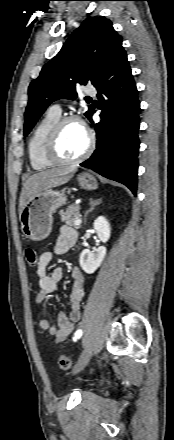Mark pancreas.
Instances as JSON below:
<instances>
[{
  "label": "pancreas",
  "instance_id": "pancreas-1",
  "mask_svg": "<svg viewBox=\"0 0 174 440\" xmlns=\"http://www.w3.org/2000/svg\"><path fill=\"white\" fill-rule=\"evenodd\" d=\"M80 207L77 204L70 205L66 210H60L59 215L61 221L66 225L74 227L76 230L80 228V226L74 225L75 218L79 216Z\"/></svg>",
  "mask_w": 174,
  "mask_h": 440
}]
</instances>
